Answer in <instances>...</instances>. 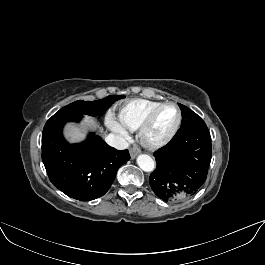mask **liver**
Returning <instances> with one entry per match:
<instances>
[{
	"mask_svg": "<svg viewBox=\"0 0 265 265\" xmlns=\"http://www.w3.org/2000/svg\"><path fill=\"white\" fill-rule=\"evenodd\" d=\"M84 125L90 129H96L99 127L95 119L89 116H85ZM100 131L102 129L100 128ZM65 137L72 143L81 142L85 139V132L82 128L69 124L65 128Z\"/></svg>",
	"mask_w": 265,
	"mask_h": 265,
	"instance_id": "6515ba94",
	"label": "liver"
}]
</instances>
